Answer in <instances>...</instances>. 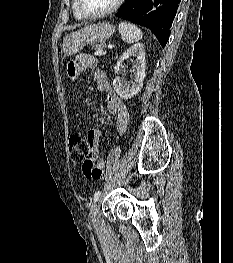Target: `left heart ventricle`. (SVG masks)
<instances>
[{
    "label": "left heart ventricle",
    "instance_id": "left-heart-ventricle-1",
    "mask_svg": "<svg viewBox=\"0 0 233 263\" xmlns=\"http://www.w3.org/2000/svg\"><path fill=\"white\" fill-rule=\"evenodd\" d=\"M83 9L88 13H99L111 7L116 0H81Z\"/></svg>",
    "mask_w": 233,
    "mask_h": 263
}]
</instances>
